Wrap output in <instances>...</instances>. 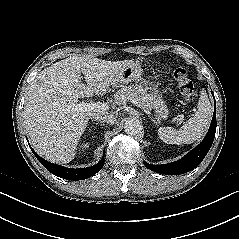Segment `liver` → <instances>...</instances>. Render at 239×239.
Instances as JSON below:
<instances>
[{
    "label": "liver",
    "instance_id": "1",
    "mask_svg": "<svg viewBox=\"0 0 239 239\" xmlns=\"http://www.w3.org/2000/svg\"><path fill=\"white\" fill-rule=\"evenodd\" d=\"M126 62L70 56L38 74L28 90L23 117L30 143L40 156L63 164L74 159L88 120L106 114L81 112L74 105L79 98L106 94Z\"/></svg>",
    "mask_w": 239,
    "mask_h": 239
}]
</instances>
